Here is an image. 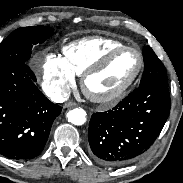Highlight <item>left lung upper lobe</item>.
Segmentation results:
<instances>
[{"label": "left lung upper lobe", "instance_id": "obj_1", "mask_svg": "<svg viewBox=\"0 0 183 183\" xmlns=\"http://www.w3.org/2000/svg\"><path fill=\"white\" fill-rule=\"evenodd\" d=\"M143 57L144 75L140 81V86L148 84L168 85L165 67L151 47L147 46L144 49Z\"/></svg>", "mask_w": 183, "mask_h": 183}]
</instances>
